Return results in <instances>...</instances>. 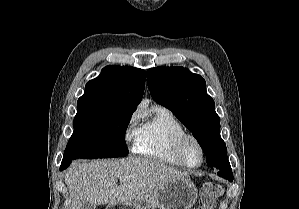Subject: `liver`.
Here are the masks:
<instances>
[{"label":"liver","mask_w":299,"mask_h":209,"mask_svg":"<svg viewBox=\"0 0 299 209\" xmlns=\"http://www.w3.org/2000/svg\"><path fill=\"white\" fill-rule=\"evenodd\" d=\"M189 174L153 159L128 157L122 160L75 161L65 173L72 200L70 209L84 203L115 205L132 202L162 184ZM119 180L120 185L116 186Z\"/></svg>","instance_id":"liver-1"}]
</instances>
